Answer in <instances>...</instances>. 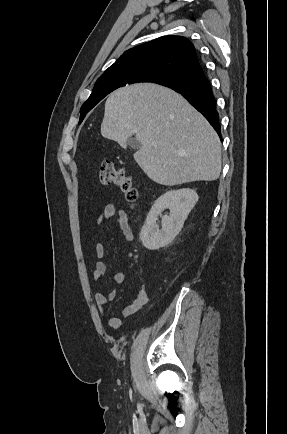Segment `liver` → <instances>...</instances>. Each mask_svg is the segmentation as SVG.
I'll use <instances>...</instances> for the list:
<instances>
[{
    "label": "liver",
    "instance_id": "1",
    "mask_svg": "<svg viewBox=\"0 0 287 434\" xmlns=\"http://www.w3.org/2000/svg\"><path fill=\"white\" fill-rule=\"evenodd\" d=\"M101 134L122 147L135 134L142 145L135 161L161 185L213 181L221 172L215 130L180 94L159 85L136 84L111 93Z\"/></svg>",
    "mask_w": 287,
    "mask_h": 434
}]
</instances>
